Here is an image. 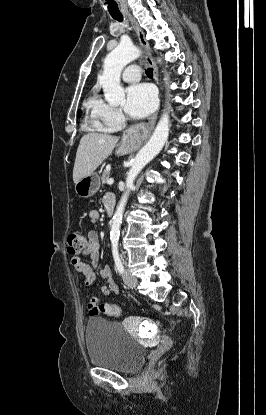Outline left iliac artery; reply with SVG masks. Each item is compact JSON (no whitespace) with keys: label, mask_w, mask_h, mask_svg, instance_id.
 <instances>
[{"label":"left iliac artery","mask_w":266,"mask_h":415,"mask_svg":"<svg viewBox=\"0 0 266 415\" xmlns=\"http://www.w3.org/2000/svg\"><path fill=\"white\" fill-rule=\"evenodd\" d=\"M113 257H114L116 269L118 270V272L120 274H123L124 273V266H123V263L121 261L119 252L118 251H113Z\"/></svg>","instance_id":"44dca946"}]
</instances>
